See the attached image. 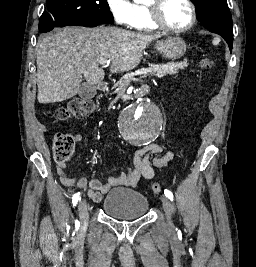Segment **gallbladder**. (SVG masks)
<instances>
[{
    "mask_svg": "<svg viewBox=\"0 0 256 267\" xmlns=\"http://www.w3.org/2000/svg\"><path fill=\"white\" fill-rule=\"evenodd\" d=\"M78 94L82 100L89 102V100H92V98L96 96L97 88L94 86V84H88V82H84V84H81Z\"/></svg>",
    "mask_w": 256,
    "mask_h": 267,
    "instance_id": "obj_1",
    "label": "gallbladder"
}]
</instances>
